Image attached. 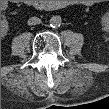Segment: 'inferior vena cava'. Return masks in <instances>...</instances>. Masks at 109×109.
Masks as SVG:
<instances>
[{
	"mask_svg": "<svg viewBox=\"0 0 109 109\" xmlns=\"http://www.w3.org/2000/svg\"><path fill=\"white\" fill-rule=\"evenodd\" d=\"M40 23H41V20L38 17H31L28 20V25H37Z\"/></svg>",
	"mask_w": 109,
	"mask_h": 109,
	"instance_id": "obj_1",
	"label": "inferior vena cava"
}]
</instances>
